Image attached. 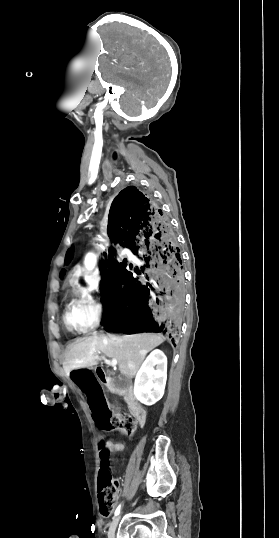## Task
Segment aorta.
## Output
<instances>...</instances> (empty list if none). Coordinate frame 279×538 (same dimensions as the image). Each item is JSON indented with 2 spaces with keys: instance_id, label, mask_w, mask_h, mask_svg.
<instances>
[{
  "instance_id": "aorta-1",
  "label": "aorta",
  "mask_w": 279,
  "mask_h": 538,
  "mask_svg": "<svg viewBox=\"0 0 279 538\" xmlns=\"http://www.w3.org/2000/svg\"><path fill=\"white\" fill-rule=\"evenodd\" d=\"M96 264V257L93 253H88L85 257V266L88 270H92Z\"/></svg>"
}]
</instances>
